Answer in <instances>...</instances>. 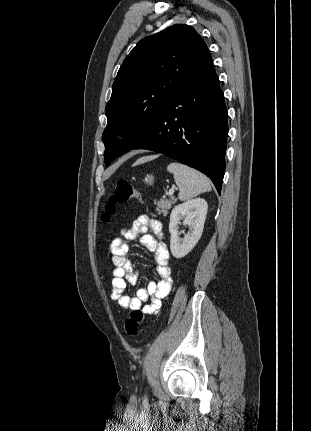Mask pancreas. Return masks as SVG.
<instances>
[{
  "label": "pancreas",
  "mask_w": 311,
  "mask_h": 431,
  "mask_svg": "<svg viewBox=\"0 0 311 431\" xmlns=\"http://www.w3.org/2000/svg\"><path fill=\"white\" fill-rule=\"evenodd\" d=\"M177 202V198L175 196H171V200H160V202H154L156 204V212L157 214H163V216H167L168 210H170L172 204Z\"/></svg>",
  "instance_id": "cf45deb5"
}]
</instances>
